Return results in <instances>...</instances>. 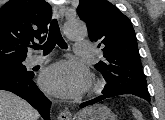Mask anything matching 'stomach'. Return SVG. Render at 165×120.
Listing matches in <instances>:
<instances>
[{"label": "stomach", "instance_id": "obj_1", "mask_svg": "<svg viewBox=\"0 0 165 120\" xmlns=\"http://www.w3.org/2000/svg\"><path fill=\"white\" fill-rule=\"evenodd\" d=\"M77 120H116V116L107 106L96 104L84 109Z\"/></svg>", "mask_w": 165, "mask_h": 120}]
</instances>
